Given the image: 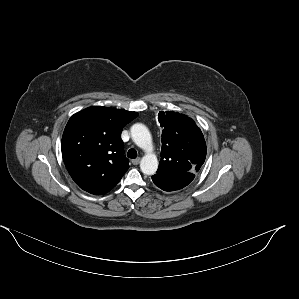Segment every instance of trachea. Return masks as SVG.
I'll return each instance as SVG.
<instances>
[{
  "instance_id": "3493384b",
  "label": "trachea",
  "mask_w": 299,
  "mask_h": 299,
  "mask_svg": "<svg viewBox=\"0 0 299 299\" xmlns=\"http://www.w3.org/2000/svg\"><path fill=\"white\" fill-rule=\"evenodd\" d=\"M127 156L131 159H135L137 157V152L135 149L131 148L128 150Z\"/></svg>"
}]
</instances>
